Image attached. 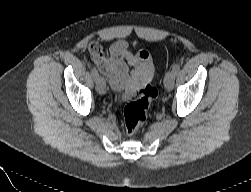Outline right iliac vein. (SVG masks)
I'll list each match as a JSON object with an SVG mask.
<instances>
[{
	"label": "right iliac vein",
	"mask_w": 251,
	"mask_h": 192,
	"mask_svg": "<svg viewBox=\"0 0 251 192\" xmlns=\"http://www.w3.org/2000/svg\"><path fill=\"white\" fill-rule=\"evenodd\" d=\"M96 90L99 94H105L106 93V83L105 80L102 77H99L96 80Z\"/></svg>",
	"instance_id": "obj_1"
}]
</instances>
